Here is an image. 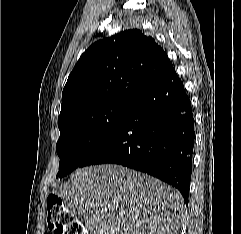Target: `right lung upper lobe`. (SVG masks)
I'll return each mask as SVG.
<instances>
[{
    "instance_id": "1",
    "label": "right lung upper lobe",
    "mask_w": 241,
    "mask_h": 234,
    "mask_svg": "<svg viewBox=\"0 0 241 234\" xmlns=\"http://www.w3.org/2000/svg\"><path fill=\"white\" fill-rule=\"evenodd\" d=\"M166 52L139 29L92 44L70 73L62 93L58 124L71 113L97 104H132L172 70Z\"/></svg>"
}]
</instances>
